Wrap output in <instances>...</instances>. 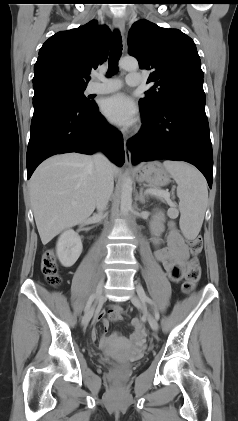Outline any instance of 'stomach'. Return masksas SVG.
<instances>
[{"label":"stomach","mask_w":238,"mask_h":421,"mask_svg":"<svg viewBox=\"0 0 238 421\" xmlns=\"http://www.w3.org/2000/svg\"><path fill=\"white\" fill-rule=\"evenodd\" d=\"M140 181H144L154 187H162L170 182L168 171L160 162H150L141 167L137 172Z\"/></svg>","instance_id":"obj_1"}]
</instances>
